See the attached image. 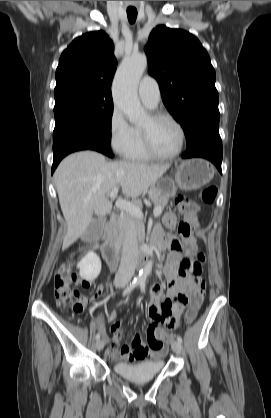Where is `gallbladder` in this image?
Listing matches in <instances>:
<instances>
[{"mask_svg":"<svg viewBox=\"0 0 271 418\" xmlns=\"http://www.w3.org/2000/svg\"><path fill=\"white\" fill-rule=\"evenodd\" d=\"M105 217L104 216H98L95 217L91 224L88 227V234L91 236H97L100 235L102 232V228L104 225Z\"/></svg>","mask_w":271,"mask_h":418,"instance_id":"obj_1","label":"gallbladder"}]
</instances>
